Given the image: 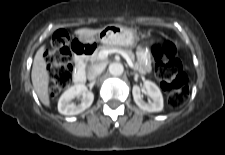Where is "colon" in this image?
Returning a JSON list of instances; mask_svg holds the SVG:
<instances>
[{"label": "colon", "mask_w": 225, "mask_h": 155, "mask_svg": "<svg viewBox=\"0 0 225 155\" xmlns=\"http://www.w3.org/2000/svg\"><path fill=\"white\" fill-rule=\"evenodd\" d=\"M156 61L155 73L161 80L162 88L168 93V104L180 108L189 95V82L176 57V47L170 41L157 43L152 47ZM50 76V92L58 94L71 82L73 76L72 52L68 46V35L58 31L45 55Z\"/></svg>", "instance_id": "5ec220e1"}]
</instances>
